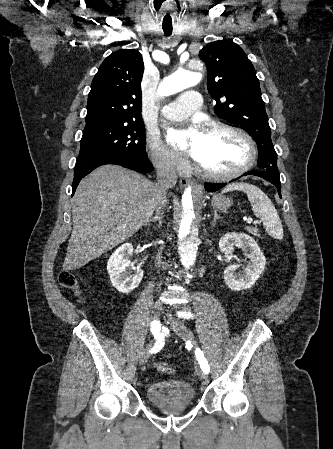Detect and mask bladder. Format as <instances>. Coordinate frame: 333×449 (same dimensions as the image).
<instances>
[{
  "label": "bladder",
  "mask_w": 333,
  "mask_h": 449,
  "mask_svg": "<svg viewBox=\"0 0 333 449\" xmlns=\"http://www.w3.org/2000/svg\"><path fill=\"white\" fill-rule=\"evenodd\" d=\"M149 403L156 407L190 406L194 402L193 387L182 380H163L151 383L146 390Z\"/></svg>",
  "instance_id": "1"
}]
</instances>
